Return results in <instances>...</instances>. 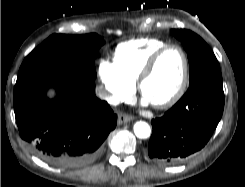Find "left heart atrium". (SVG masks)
Returning <instances> with one entry per match:
<instances>
[{
	"mask_svg": "<svg viewBox=\"0 0 245 187\" xmlns=\"http://www.w3.org/2000/svg\"><path fill=\"white\" fill-rule=\"evenodd\" d=\"M142 103H143L144 105L149 104V102H148L144 97H143Z\"/></svg>",
	"mask_w": 245,
	"mask_h": 187,
	"instance_id": "39dd6f15",
	"label": "left heart atrium"
}]
</instances>
